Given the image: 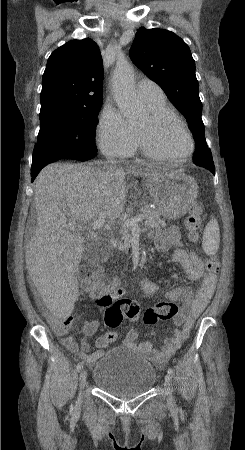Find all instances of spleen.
I'll return each mask as SVG.
<instances>
[{
	"instance_id": "obj_1",
	"label": "spleen",
	"mask_w": 245,
	"mask_h": 450,
	"mask_svg": "<svg viewBox=\"0 0 245 450\" xmlns=\"http://www.w3.org/2000/svg\"><path fill=\"white\" fill-rule=\"evenodd\" d=\"M220 231L217 220L212 217L203 232L202 247L206 254L214 255L219 249Z\"/></svg>"
}]
</instances>
